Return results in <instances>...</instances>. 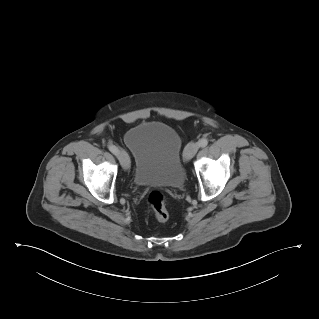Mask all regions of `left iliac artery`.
<instances>
[{"label":"left iliac artery","instance_id":"obj_1","mask_svg":"<svg viewBox=\"0 0 319 319\" xmlns=\"http://www.w3.org/2000/svg\"><path fill=\"white\" fill-rule=\"evenodd\" d=\"M208 145V139L202 138L199 140V147H206Z\"/></svg>","mask_w":319,"mask_h":319}]
</instances>
